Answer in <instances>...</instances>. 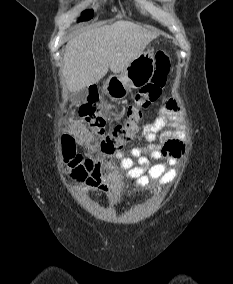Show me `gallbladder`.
Listing matches in <instances>:
<instances>
[{
  "label": "gallbladder",
  "mask_w": 233,
  "mask_h": 284,
  "mask_svg": "<svg viewBox=\"0 0 233 284\" xmlns=\"http://www.w3.org/2000/svg\"><path fill=\"white\" fill-rule=\"evenodd\" d=\"M88 95V92L86 89H82L78 92H76L74 95H73V102L75 103H81V102H84L86 100V97Z\"/></svg>",
  "instance_id": "1"
}]
</instances>
